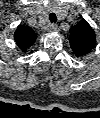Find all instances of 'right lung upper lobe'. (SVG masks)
Instances as JSON below:
<instances>
[{
	"mask_svg": "<svg viewBox=\"0 0 100 118\" xmlns=\"http://www.w3.org/2000/svg\"><path fill=\"white\" fill-rule=\"evenodd\" d=\"M14 38L19 48L22 51H26L28 47L34 44L36 34L31 28L25 25H20L15 31Z\"/></svg>",
	"mask_w": 100,
	"mask_h": 118,
	"instance_id": "cb5924a9",
	"label": "right lung upper lobe"
}]
</instances>
